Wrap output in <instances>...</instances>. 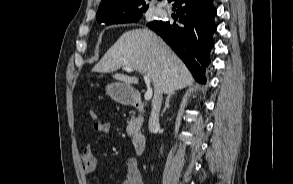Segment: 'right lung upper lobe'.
<instances>
[{
  "instance_id": "cb5924a9",
  "label": "right lung upper lobe",
  "mask_w": 293,
  "mask_h": 184,
  "mask_svg": "<svg viewBox=\"0 0 293 184\" xmlns=\"http://www.w3.org/2000/svg\"><path fill=\"white\" fill-rule=\"evenodd\" d=\"M146 0H102L96 19L99 23L112 24L137 13L145 12L148 8Z\"/></svg>"
}]
</instances>
